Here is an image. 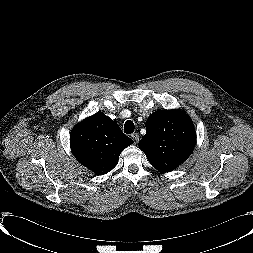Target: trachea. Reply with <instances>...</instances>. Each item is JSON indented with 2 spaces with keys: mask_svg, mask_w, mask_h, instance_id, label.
<instances>
[{
  "mask_svg": "<svg viewBox=\"0 0 253 253\" xmlns=\"http://www.w3.org/2000/svg\"><path fill=\"white\" fill-rule=\"evenodd\" d=\"M134 129H135V126H134V123L133 121L131 120H127L124 124V132L126 134H131L134 132Z\"/></svg>",
  "mask_w": 253,
  "mask_h": 253,
  "instance_id": "trachea-1",
  "label": "trachea"
}]
</instances>
